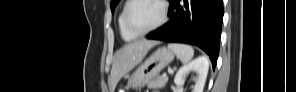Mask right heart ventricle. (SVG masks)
Here are the masks:
<instances>
[{"mask_svg": "<svg viewBox=\"0 0 296 92\" xmlns=\"http://www.w3.org/2000/svg\"><path fill=\"white\" fill-rule=\"evenodd\" d=\"M129 1L125 2L120 13H119V16H118V26H119V31H120V34L122 36V38L126 41H131L133 39H135L137 36H134L133 34H131L127 28L125 27V24H124V11H125V8L127 6Z\"/></svg>", "mask_w": 296, "mask_h": 92, "instance_id": "right-heart-ventricle-1", "label": "right heart ventricle"}]
</instances>
